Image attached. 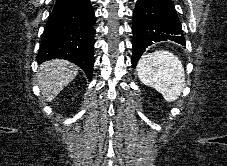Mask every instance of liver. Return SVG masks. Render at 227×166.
Masks as SVG:
<instances>
[{
  "label": "liver",
  "mask_w": 227,
  "mask_h": 166,
  "mask_svg": "<svg viewBox=\"0 0 227 166\" xmlns=\"http://www.w3.org/2000/svg\"><path fill=\"white\" fill-rule=\"evenodd\" d=\"M78 66L64 59H52L40 65L38 84L43 98L52 101L78 74Z\"/></svg>",
  "instance_id": "liver-1"
}]
</instances>
